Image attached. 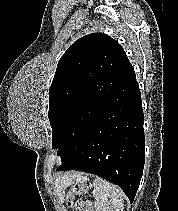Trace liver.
<instances>
[{
	"label": "liver",
	"mask_w": 178,
	"mask_h": 211,
	"mask_svg": "<svg viewBox=\"0 0 178 211\" xmlns=\"http://www.w3.org/2000/svg\"><path fill=\"white\" fill-rule=\"evenodd\" d=\"M79 178V175L76 173L70 174L65 173L56 178L55 180V188L58 193H62L64 189L72 184L75 180Z\"/></svg>",
	"instance_id": "obj_1"
}]
</instances>
